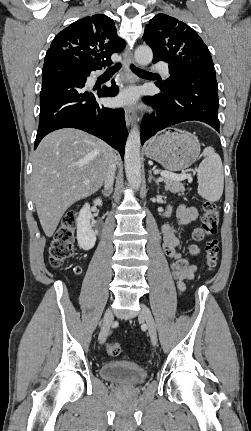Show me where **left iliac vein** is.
Masks as SVG:
<instances>
[{
    "instance_id": "1",
    "label": "left iliac vein",
    "mask_w": 251,
    "mask_h": 431,
    "mask_svg": "<svg viewBox=\"0 0 251 431\" xmlns=\"http://www.w3.org/2000/svg\"><path fill=\"white\" fill-rule=\"evenodd\" d=\"M139 317L145 320L146 325L148 327V332L151 338V342L153 345H156L157 344L156 324L149 308L144 304H141Z\"/></svg>"
}]
</instances>
